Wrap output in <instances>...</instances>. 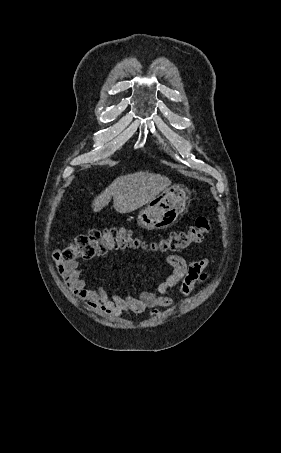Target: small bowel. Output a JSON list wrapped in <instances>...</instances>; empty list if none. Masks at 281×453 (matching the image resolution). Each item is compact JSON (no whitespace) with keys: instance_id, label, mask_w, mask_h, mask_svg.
<instances>
[{"instance_id":"obj_1","label":"small bowel","mask_w":281,"mask_h":453,"mask_svg":"<svg viewBox=\"0 0 281 453\" xmlns=\"http://www.w3.org/2000/svg\"><path fill=\"white\" fill-rule=\"evenodd\" d=\"M53 261L64 277L67 286L97 311L125 315L143 313L152 308H170L174 304L171 297L161 296L154 292H144L138 296L107 294L100 288L90 286L83 279V271L76 259H65L59 251H56L53 254ZM166 262L173 270L158 285L161 293L178 288L183 294L189 295L195 284L207 277L206 269L209 265L207 259L196 260L188 264L183 256L174 254L168 256Z\"/></svg>"}]
</instances>
